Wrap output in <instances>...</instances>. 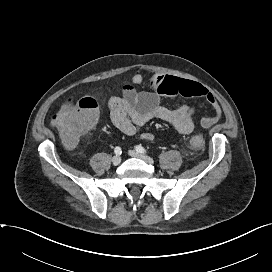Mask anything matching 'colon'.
Segmentation results:
<instances>
[{
	"mask_svg": "<svg viewBox=\"0 0 272 272\" xmlns=\"http://www.w3.org/2000/svg\"><path fill=\"white\" fill-rule=\"evenodd\" d=\"M97 115V102L93 97L71 96L60 111L53 115L52 124L59 131L66 145H74L94 124ZM193 150H201L204 139L200 135L190 139Z\"/></svg>",
	"mask_w": 272,
	"mask_h": 272,
	"instance_id": "5ec220e1",
	"label": "colon"
}]
</instances>
